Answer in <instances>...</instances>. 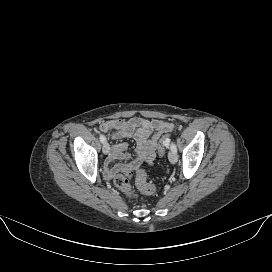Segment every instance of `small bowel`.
<instances>
[{"label":"small bowel","mask_w":272,"mask_h":272,"mask_svg":"<svg viewBox=\"0 0 272 272\" xmlns=\"http://www.w3.org/2000/svg\"><path fill=\"white\" fill-rule=\"evenodd\" d=\"M99 128L103 132H113V138H133L136 141V156L131 165H138L141 162L152 164L155 160V150L160 137L170 133L173 125L169 122L134 117L128 120L116 119L102 122ZM127 144L119 143L112 147L110 160L127 159ZM122 166L108 170V175L121 170Z\"/></svg>","instance_id":"c3829d8e"}]
</instances>
